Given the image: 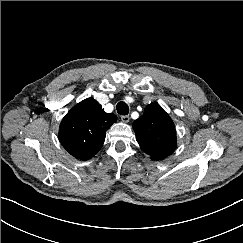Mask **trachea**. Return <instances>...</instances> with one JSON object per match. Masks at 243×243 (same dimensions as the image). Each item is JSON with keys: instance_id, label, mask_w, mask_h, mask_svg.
<instances>
[{"instance_id": "trachea-1", "label": "trachea", "mask_w": 243, "mask_h": 243, "mask_svg": "<svg viewBox=\"0 0 243 243\" xmlns=\"http://www.w3.org/2000/svg\"><path fill=\"white\" fill-rule=\"evenodd\" d=\"M116 109H117V112L120 114V115H127L129 113V107L128 105L121 101L117 104L116 106Z\"/></svg>"}]
</instances>
